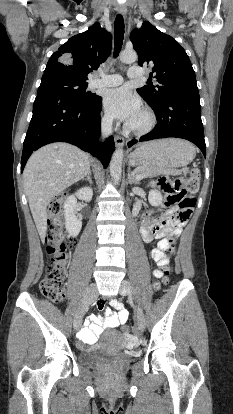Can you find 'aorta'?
Segmentation results:
<instances>
[{
    "mask_svg": "<svg viewBox=\"0 0 233 414\" xmlns=\"http://www.w3.org/2000/svg\"><path fill=\"white\" fill-rule=\"evenodd\" d=\"M137 60V53L134 50H124L120 54V61L126 64L134 63ZM123 149L117 148L111 158L110 174L115 185H118L122 174Z\"/></svg>",
    "mask_w": 233,
    "mask_h": 414,
    "instance_id": "obj_1",
    "label": "aorta"
}]
</instances>
